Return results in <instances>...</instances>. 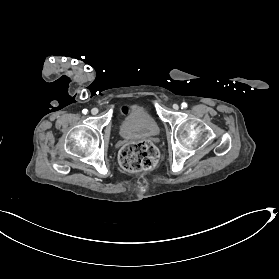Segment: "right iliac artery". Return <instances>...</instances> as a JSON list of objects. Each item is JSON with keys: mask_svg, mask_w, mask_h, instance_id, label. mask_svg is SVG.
<instances>
[{"mask_svg": "<svg viewBox=\"0 0 279 279\" xmlns=\"http://www.w3.org/2000/svg\"><path fill=\"white\" fill-rule=\"evenodd\" d=\"M82 112H83V114H87L88 110L87 109H83Z\"/></svg>", "mask_w": 279, "mask_h": 279, "instance_id": "right-iliac-artery-1", "label": "right iliac artery"}]
</instances>
